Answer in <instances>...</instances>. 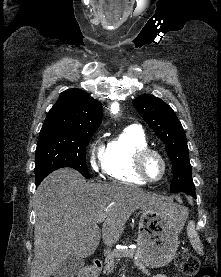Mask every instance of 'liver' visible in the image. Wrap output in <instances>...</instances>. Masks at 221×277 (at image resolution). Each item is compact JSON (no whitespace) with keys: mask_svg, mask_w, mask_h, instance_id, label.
Segmentation results:
<instances>
[{"mask_svg":"<svg viewBox=\"0 0 221 277\" xmlns=\"http://www.w3.org/2000/svg\"><path fill=\"white\" fill-rule=\"evenodd\" d=\"M34 261L30 277H50L70 256L86 258L100 243L97 220L105 217L102 238L115 244L137 209L164 208L160 197L118 183H88L73 169L49 174L36 194Z\"/></svg>","mask_w":221,"mask_h":277,"instance_id":"obj_1","label":"liver"}]
</instances>
